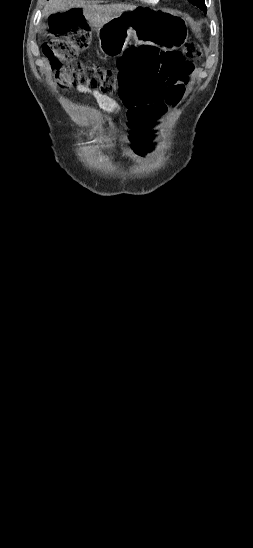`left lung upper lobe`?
I'll list each match as a JSON object with an SVG mask.
<instances>
[{
    "instance_id": "obj_1",
    "label": "left lung upper lobe",
    "mask_w": 253,
    "mask_h": 548,
    "mask_svg": "<svg viewBox=\"0 0 253 548\" xmlns=\"http://www.w3.org/2000/svg\"><path fill=\"white\" fill-rule=\"evenodd\" d=\"M188 1L191 2L192 4L198 5V6H204L205 5L204 0H188Z\"/></svg>"
}]
</instances>
